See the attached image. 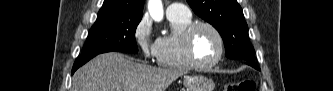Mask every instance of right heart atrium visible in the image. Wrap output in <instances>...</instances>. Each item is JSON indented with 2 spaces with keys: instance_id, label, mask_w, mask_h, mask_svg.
I'll list each match as a JSON object with an SVG mask.
<instances>
[{
  "instance_id": "right-heart-atrium-1",
  "label": "right heart atrium",
  "mask_w": 333,
  "mask_h": 91,
  "mask_svg": "<svg viewBox=\"0 0 333 91\" xmlns=\"http://www.w3.org/2000/svg\"><path fill=\"white\" fill-rule=\"evenodd\" d=\"M133 39L144 58H155L156 41L152 38V26L148 17L144 16L136 23Z\"/></svg>"
}]
</instances>
